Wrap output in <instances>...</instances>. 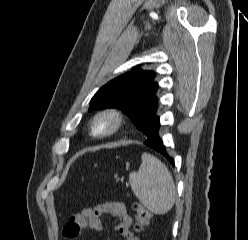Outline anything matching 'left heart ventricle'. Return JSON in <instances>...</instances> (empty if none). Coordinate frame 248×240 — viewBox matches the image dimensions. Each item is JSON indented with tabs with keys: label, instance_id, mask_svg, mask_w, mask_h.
<instances>
[{
	"label": "left heart ventricle",
	"instance_id": "b2bd125f",
	"mask_svg": "<svg viewBox=\"0 0 248 240\" xmlns=\"http://www.w3.org/2000/svg\"><path fill=\"white\" fill-rule=\"evenodd\" d=\"M112 125H113L112 119L108 117H102L97 120L96 125H95V130L97 132H103V131L110 129Z\"/></svg>",
	"mask_w": 248,
	"mask_h": 240
}]
</instances>
